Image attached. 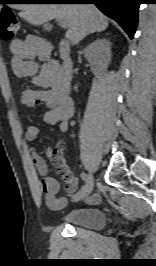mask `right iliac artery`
<instances>
[{
    "instance_id": "1",
    "label": "right iliac artery",
    "mask_w": 156,
    "mask_h": 266,
    "mask_svg": "<svg viewBox=\"0 0 156 266\" xmlns=\"http://www.w3.org/2000/svg\"><path fill=\"white\" fill-rule=\"evenodd\" d=\"M87 177H88V175H87L86 173H84V172L81 173V178H82L84 181L87 180Z\"/></svg>"
}]
</instances>
